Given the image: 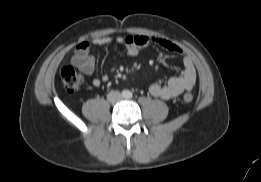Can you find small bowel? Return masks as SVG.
I'll list each match as a JSON object with an SVG mask.
<instances>
[{
    "instance_id": "small-bowel-1",
    "label": "small bowel",
    "mask_w": 261,
    "mask_h": 182,
    "mask_svg": "<svg viewBox=\"0 0 261 182\" xmlns=\"http://www.w3.org/2000/svg\"><path fill=\"white\" fill-rule=\"evenodd\" d=\"M114 40L111 37H98L92 42L82 41L75 49L71 59V64L79 69L85 75H92L95 70V58L90 51L93 46L109 45ZM115 42L123 45L129 56H136L138 53L151 45H158L166 51L182 57L183 70L180 75L172 76L165 82H155L149 87V92L154 97L162 99H172L184 91L193 89L196 83V69L192 57L186 53L179 45L171 40L164 38H151L144 35H134L127 37H117ZM107 74L101 77H95L92 84L99 87L107 82Z\"/></svg>"
}]
</instances>
